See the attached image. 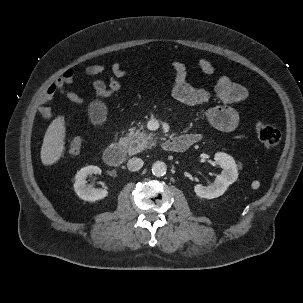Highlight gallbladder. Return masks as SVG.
<instances>
[{
  "label": "gallbladder",
  "mask_w": 303,
  "mask_h": 303,
  "mask_svg": "<svg viewBox=\"0 0 303 303\" xmlns=\"http://www.w3.org/2000/svg\"><path fill=\"white\" fill-rule=\"evenodd\" d=\"M105 108L100 102H94L90 105L89 115L94 124H99L104 119Z\"/></svg>",
  "instance_id": "1"
}]
</instances>
